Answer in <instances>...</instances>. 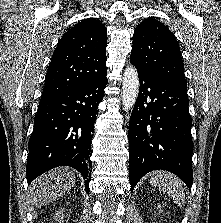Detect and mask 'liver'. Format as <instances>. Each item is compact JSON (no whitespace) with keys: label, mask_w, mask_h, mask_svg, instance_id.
I'll use <instances>...</instances> for the list:
<instances>
[{"label":"liver","mask_w":221,"mask_h":223,"mask_svg":"<svg viewBox=\"0 0 221 223\" xmlns=\"http://www.w3.org/2000/svg\"><path fill=\"white\" fill-rule=\"evenodd\" d=\"M75 174L70 168L59 167L37 178L30 187V200L40 208L64 196L75 184Z\"/></svg>","instance_id":"liver-1"}]
</instances>
